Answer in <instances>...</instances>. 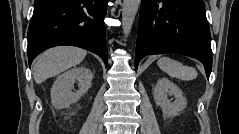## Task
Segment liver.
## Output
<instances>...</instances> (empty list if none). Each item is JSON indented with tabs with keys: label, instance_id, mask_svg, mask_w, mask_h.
<instances>
[{
	"label": "liver",
	"instance_id": "1",
	"mask_svg": "<svg viewBox=\"0 0 239 134\" xmlns=\"http://www.w3.org/2000/svg\"><path fill=\"white\" fill-rule=\"evenodd\" d=\"M87 51L72 46H59L43 52L34 63V79L40 84L69 68L80 64Z\"/></svg>",
	"mask_w": 239,
	"mask_h": 134
}]
</instances>
